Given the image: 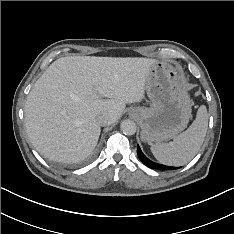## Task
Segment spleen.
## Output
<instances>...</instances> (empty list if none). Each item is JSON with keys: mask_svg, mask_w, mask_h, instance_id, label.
Here are the masks:
<instances>
[{"mask_svg": "<svg viewBox=\"0 0 234 234\" xmlns=\"http://www.w3.org/2000/svg\"><path fill=\"white\" fill-rule=\"evenodd\" d=\"M208 128V113L200 106L196 119L189 128L174 137L172 142L151 146L154 157L162 164L182 166L191 161L203 144Z\"/></svg>", "mask_w": 234, "mask_h": 234, "instance_id": "1", "label": "spleen"}]
</instances>
